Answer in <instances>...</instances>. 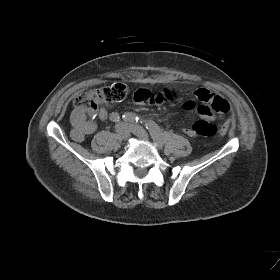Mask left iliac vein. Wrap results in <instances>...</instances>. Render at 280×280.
I'll return each instance as SVG.
<instances>
[{"mask_svg":"<svg viewBox=\"0 0 280 280\" xmlns=\"http://www.w3.org/2000/svg\"><path fill=\"white\" fill-rule=\"evenodd\" d=\"M128 127L130 129V131L140 137L141 139L143 140H148L149 139V136H148V133L146 132V130L141 127L140 125H137V124H128Z\"/></svg>","mask_w":280,"mask_h":280,"instance_id":"obj_1","label":"left iliac vein"}]
</instances>
